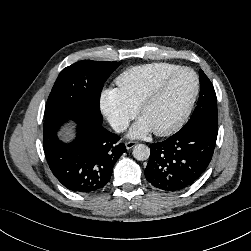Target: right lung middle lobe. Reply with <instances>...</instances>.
<instances>
[{
	"label": "right lung middle lobe",
	"mask_w": 251,
	"mask_h": 251,
	"mask_svg": "<svg viewBox=\"0 0 251 251\" xmlns=\"http://www.w3.org/2000/svg\"><path fill=\"white\" fill-rule=\"evenodd\" d=\"M119 65L118 62L84 60L64 68L47 100L45 118L78 112L102 123L101 91Z\"/></svg>",
	"instance_id": "dd1d6c3e"
}]
</instances>
